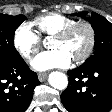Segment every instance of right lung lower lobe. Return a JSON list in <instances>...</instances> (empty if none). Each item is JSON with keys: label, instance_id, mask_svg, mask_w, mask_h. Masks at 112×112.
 Here are the masks:
<instances>
[{"label": "right lung lower lobe", "instance_id": "98d812e1", "mask_svg": "<svg viewBox=\"0 0 112 112\" xmlns=\"http://www.w3.org/2000/svg\"><path fill=\"white\" fill-rule=\"evenodd\" d=\"M39 84L22 57L0 65V112H24Z\"/></svg>", "mask_w": 112, "mask_h": 112}]
</instances>
